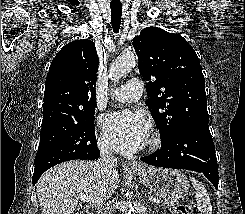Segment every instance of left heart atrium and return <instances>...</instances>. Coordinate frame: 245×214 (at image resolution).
Listing matches in <instances>:
<instances>
[{"label":"left heart atrium","mask_w":245,"mask_h":214,"mask_svg":"<svg viewBox=\"0 0 245 214\" xmlns=\"http://www.w3.org/2000/svg\"><path fill=\"white\" fill-rule=\"evenodd\" d=\"M101 126L109 146L123 154L142 148L147 142L150 127L146 117L129 111L105 115Z\"/></svg>","instance_id":"39dd6f15"}]
</instances>
